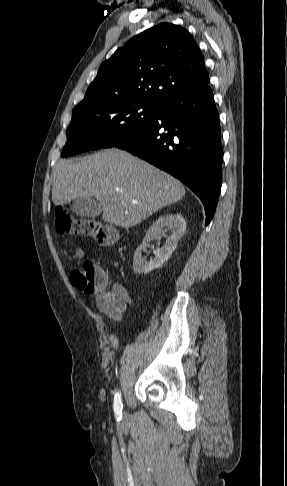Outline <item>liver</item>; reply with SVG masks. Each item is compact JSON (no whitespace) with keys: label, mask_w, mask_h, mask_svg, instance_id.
Wrapping results in <instances>:
<instances>
[{"label":"liver","mask_w":287,"mask_h":486,"mask_svg":"<svg viewBox=\"0 0 287 486\" xmlns=\"http://www.w3.org/2000/svg\"><path fill=\"white\" fill-rule=\"evenodd\" d=\"M184 196L180 181L116 148L78 161L59 160L53 174L52 201L56 206L95 197L102 207V219L123 228L141 223Z\"/></svg>","instance_id":"obj_1"}]
</instances>
